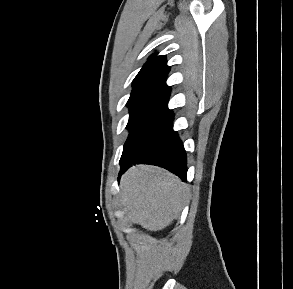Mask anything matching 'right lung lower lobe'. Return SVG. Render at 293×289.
Returning <instances> with one entry per match:
<instances>
[{
    "instance_id": "obj_1",
    "label": "right lung lower lobe",
    "mask_w": 293,
    "mask_h": 289,
    "mask_svg": "<svg viewBox=\"0 0 293 289\" xmlns=\"http://www.w3.org/2000/svg\"><path fill=\"white\" fill-rule=\"evenodd\" d=\"M174 114L160 122L133 146L124 149L120 159L121 175L132 164L163 167L186 181V152L178 134L173 131Z\"/></svg>"
}]
</instances>
